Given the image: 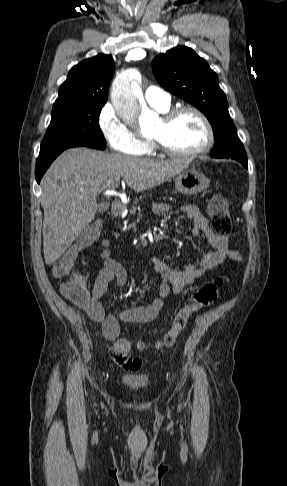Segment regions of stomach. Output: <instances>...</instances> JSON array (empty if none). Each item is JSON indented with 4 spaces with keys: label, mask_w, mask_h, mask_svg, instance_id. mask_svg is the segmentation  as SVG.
Listing matches in <instances>:
<instances>
[{
    "label": "stomach",
    "mask_w": 287,
    "mask_h": 486,
    "mask_svg": "<svg viewBox=\"0 0 287 486\" xmlns=\"http://www.w3.org/2000/svg\"><path fill=\"white\" fill-rule=\"evenodd\" d=\"M210 185L209 179L193 166L186 167L175 178V188L183 195L198 194Z\"/></svg>",
    "instance_id": "stomach-1"
}]
</instances>
